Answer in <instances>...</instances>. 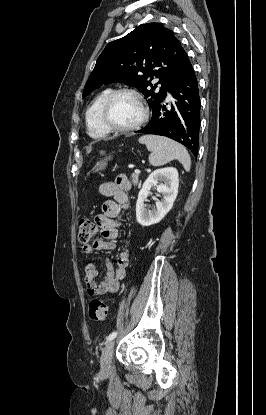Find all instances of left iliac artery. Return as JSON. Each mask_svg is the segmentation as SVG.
I'll return each mask as SVG.
<instances>
[{
  "mask_svg": "<svg viewBox=\"0 0 266 415\" xmlns=\"http://www.w3.org/2000/svg\"><path fill=\"white\" fill-rule=\"evenodd\" d=\"M117 336V332H112L109 334V336L106 338L107 342L113 340Z\"/></svg>",
  "mask_w": 266,
  "mask_h": 415,
  "instance_id": "left-iliac-artery-1",
  "label": "left iliac artery"
}]
</instances>
